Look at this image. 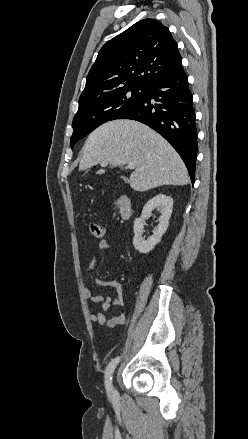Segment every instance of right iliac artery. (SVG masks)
<instances>
[{"label":"right iliac artery","mask_w":248,"mask_h":439,"mask_svg":"<svg viewBox=\"0 0 248 439\" xmlns=\"http://www.w3.org/2000/svg\"><path fill=\"white\" fill-rule=\"evenodd\" d=\"M120 360V357H116L114 359H112V361L108 364L107 368H106V373H105V387L108 393H110V391L112 390V373L114 372V369L116 368L118 362Z\"/></svg>","instance_id":"1"}]
</instances>
